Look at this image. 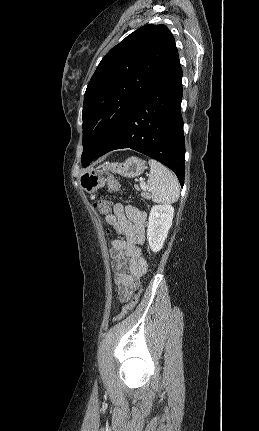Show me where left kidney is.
Returning a JSON list of instances; mask_svg holds the SVG:
<instances>
[{
    "mask_svg": "<svg viewBox=\"0 0 259 431\" xmlns=\"http://www.w3.org/2000/svg\"><path fill=\"white\" fill-rule=\"evenodd\" d=\"M174 208L171 205L159 204L151 208L147 227V239L150 249L159 252L172 226Z\"/></svg>",
    "mask_w": 259,
    "mask_h": 431,
    "instance_id": "5707ae66",
    "label": "left kidney"
}]
</instances>
